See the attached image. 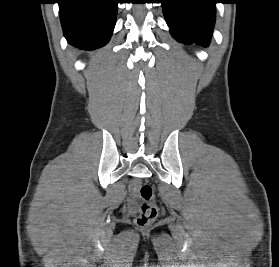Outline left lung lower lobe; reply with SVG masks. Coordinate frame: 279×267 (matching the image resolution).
<instances>
[{"label": "left lung lower lobe", "mask_w": 279, "mask_h": 267, "mask_svg": "<svg viewBox=\"0 0 279 267\" xmlns=\"http://www.w3.org/2000/svg\"><path fill=\"white\" fill-rule=\"evenodd\" d=\"M218 0H161L173 37L183 43L207 47L215 21Z\"/></svg>", "instance_id": "obj_1"}]
</instances>
